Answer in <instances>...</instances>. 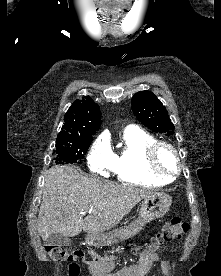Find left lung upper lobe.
Listing matches in <instances>:
<instances>
[{
	"label": "left lung upper lobe",
	"mask_w": 221,
	"mask_h": 276,
	"mask_svg": "<svg viewBox=\"0 0 221 276\" xmlns=\"http://www.w3.org/2000/svg\"><path fill=\"white\" fill-rule=\"evenodd\" d=\"M132 110L137 119L149 129L172 135L174 125L161 101L150 91H141L132 97Z\"/></svg>",
	"instance_id": "obj_1"
}]
</instances>
